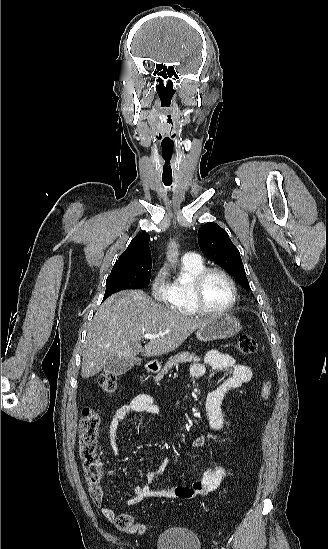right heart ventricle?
Wrapping results in <instances>:
<instances>
[{
	"label": "right heart ventricle",
	"instance_id": "e07e8e85",
	"mask_svg": "<svg viewBox=\"0 0 328 549\" xmlns=\"http://www.w3.org/2000/svg\"><path fill=\"white\" fill-rule=\"evenodd\" d=\"M206 260L195 254L191 259H180V273L168 282L167 290L161 303H170V310H180V319H201L190 305L193 304L189 285L192 277L206 266Z\"/></svg>",
	"mask_w": 328,
	"mask_h": 549
}]
</instances>
